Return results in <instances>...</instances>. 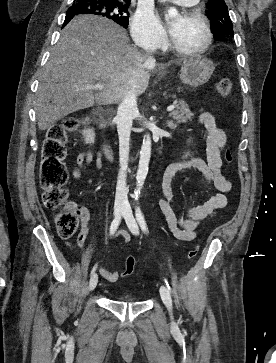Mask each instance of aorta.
<instances>
[{
  "label": "aorta",
  "mask_w": 276,
  "mask_h": 363,
  "mask_svg": "<svg viewBox=\"0 0 276 363\" xmlns=\"http://www.w3.org/2000/svg\"><path fill=\"white\" fill-rule=\"evenodd\" d=\"M179 15L177 9L175 7H170L165 14V19L169 20L170 18H176ZM151 156V138L149 135L145 137L143 140V144L140 151V159L137 171V189L135 190V196L138 197L140 194V190L144 184L148 173V165Z\"/></svg>",
  "instance_id": "762f6f07"
}]
</instances>
